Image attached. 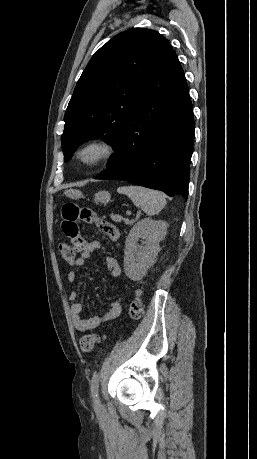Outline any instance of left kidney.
Here are the masks:
<instances>
[{
    "label": "left kidney",
    "mask_w": 257,
    "mask_h": 459,
    "mask_svg": "<svg viewBox=\"0 0 257 459\" xmlns=\"http://www.w3.org/2000/svg\"><path fill=\"white\" fill-rule=\"evenodd\" d=\"M167 227V222L151 218H145L132 227L124 250V271L128 278L139 281L147 273L158 255L159 243L165 238ZM139 239H143L144 245L137 244Z\"/></svg>",
    "instance_id": "left-kidney-1"
}]
</instances>
